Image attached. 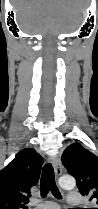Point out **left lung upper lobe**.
<instances>
[{"mask_svg":"<svg viewBox=\"0 0 98 209\" xmlns=\"http://www.w3.org/2000/svg\"><path fill=\"white\" fill-rule=\"evenodd\" d=\"M62 162L68 173L75 177L80 193L98 205V157L74 143L63 152Z\"/></svg>","mask_w":98,"mask_h":209,"instance_id":"left-lung-upper-lobe-1","label":"left lung upper lobe"}]
</instances>
